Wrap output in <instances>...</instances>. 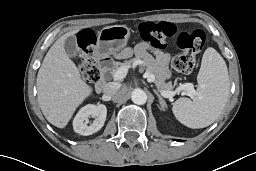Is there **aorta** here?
Segmentation results:
<instances>
[{
  "label": "aorta",
  "instance_id": "aorta-1",
  "mask_svg": "<svg viewBox=\"0 0 256 171\" xmlns=\"http://www.w3.org/2000/svg\"><path fill=\"white\" fill-rule=\"evenodd\" d=\"M131 99H132L133 103H135L137 105H143L147 101V94L142 89H135L132 92Z\"/></svg>",
  "mask_w": 256,
  "mask_h": 171
}]
</instances>
